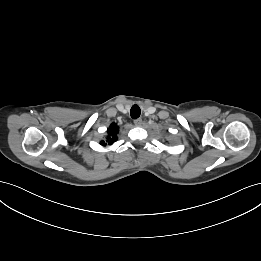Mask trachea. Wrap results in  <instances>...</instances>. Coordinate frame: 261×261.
<instances>
[{"instance_id": "1", "label": "trachea", "mask_w": 261, "mask_h": 261, "mask_svg": "<svg viewBox=\"0 0 261 261\" xmlns=\"http://www.w3.org/2000/svg\"><path fill=\"white\" fill-rule=\"evenodd\" d=\"M141 114L140 107L138 105H133L130 110V115L133 119H137Z\"/></svg>"}]
</instances>
